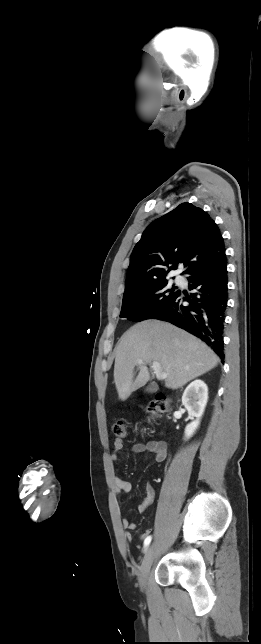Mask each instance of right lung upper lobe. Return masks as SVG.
Wrapping results in <instances>:
<instances>
[{
  "instance_id": "right-lung-upper-lobe-1",
  "label": "right lung upper lobe",
  "mask_w": 261,
  "mask_h": 644,
  "mask_svg": "<svg viewBox=\"0 0 261 644\" xmlns=\"http://www.w3.org/2000/svg\"><path fill=\"white\" fill-rule=\"evenodd\" d=\"M224 256V241L215 222L202 209L183 203L143 232L130 257L125 289L163 280L178 264L187 271Z\"/></svg>"
}]
</instances>
